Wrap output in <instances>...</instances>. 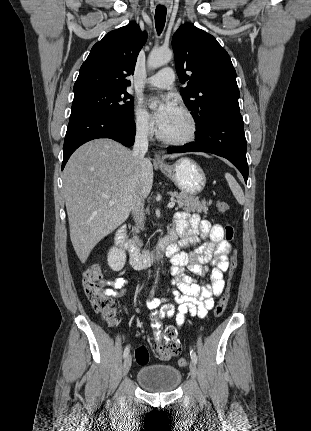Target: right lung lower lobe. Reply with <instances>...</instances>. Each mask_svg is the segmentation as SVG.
<instances>
[{"instance_id":"98d812e1","label":"right lung lower lobe","mask_w":311,"mask_h":431,"mask_svg":"<svg viewBox=\"0 0 311 431\" xmlns=\"http://www.w3.org/2000/svg\"><path fill=\"white\" fill-rule=\"evenodd\" d=\"M135 123L132 117L87 112L70 118L64 140L62 170L71 154L82 144L96 138H110L131 146L134 142Z\"/></svg>"}]
</instances>
